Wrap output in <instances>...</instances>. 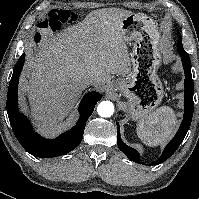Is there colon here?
<instances>
[{"label": "colon", "instance_id": "5ec220e1", "mask_svg": "<svg viewBox=\"0 0 199 199\" xmlns=\"http://www.w3.org/2000/svg\"><path fill=\"white\" fill-rule=\"evenodd\" d=\"M74 14L69 10H53L41 22V28L47 30L59 29L62 25L71 23Z\"/></svg>", "mask_w": 199, "mask_h": 199}]
</instances>
